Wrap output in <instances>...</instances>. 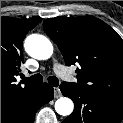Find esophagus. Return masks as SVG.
<instances>
[{
  "label": "esophagus",
  "instance_id": "esophagus-1",
  "mask_svg": "<svg viewBox=\"0 0 123 123\" xmlns=\"http://www.w3.org/2000/svg\"><path fill=\"white\" fill-rule=\"evenodd\" d=\"M61 96H62V93H61L60 89L58 87H55L54 88V97L59 98Z\"/></svg>",
  "mask_w": 123,
  "mask_h": 123
}]
</instances>
